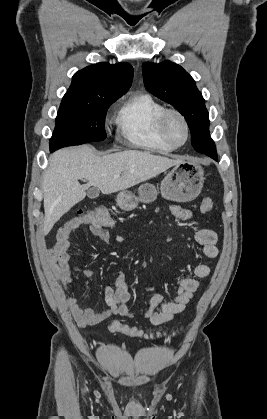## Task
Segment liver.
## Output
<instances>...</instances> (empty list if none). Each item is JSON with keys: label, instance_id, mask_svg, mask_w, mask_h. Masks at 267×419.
I'll return each instance as SVG.
<instances>
[{"label": "liver", "instance_id": "obj_1", "mask_svg": "<svg viewBox=\"0 0 267 419\" xmlns=\"http://www.w3.org/2000/svg\"><path fill=\"white\" fill-rule=\"evenodd\" d=\"M181 161L138 150L99 157L90 145L55 152L43 174L44 235L85 198L89 186L99 188L103 194L115 193L149 180ZM82 179L88 183L81 185Z\"/></svg>", "mask_w": 267, "mask_h": 419}]
</instances>
